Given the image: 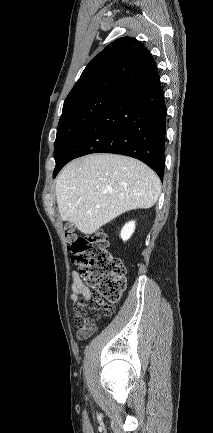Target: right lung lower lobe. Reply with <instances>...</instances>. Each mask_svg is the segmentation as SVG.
Masks as SVG:
<instances>
[{
    "label": "right lung lower lobe",
    "mask_w": 213,
    "mask_h": 433,
    "mask_svg": "<svg viewBox=\"0 0 213 433\" xmlns=\"http://www.w3.org/2000/svg\"><path fill=\"white\" fill-rule=\"evenodd\" d=\"M166 111L155 66L73 139L56 160L53 177L73 158L105 152L139 159L163 180Z\"/></svg>",
    "instance_id": "obj_1"
}]
</instances>
